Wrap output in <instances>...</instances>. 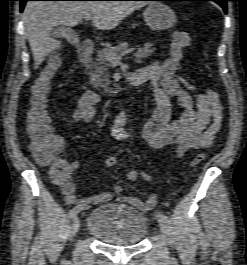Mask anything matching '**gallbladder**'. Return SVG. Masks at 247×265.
<instances>
[{"label":"gallbladder","instance_id":"1","mask_svg":"<svg viewBox=\"0 0 247 265\" xmlns=\"http://www.w3.org/2000/svg\"><path fill=\"white\" fill-rule=\"evenodd\" d=\"M69 33H71V29L64 27V26H59L56 28H53L51 34L59 39H62L66 37Z\"/></svg>","mask_w":247,"mask_h":265}]
</instances>
